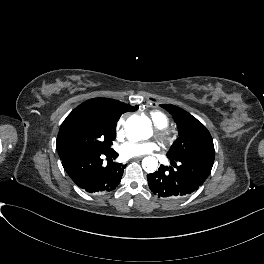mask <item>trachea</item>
<instances>
[{"instance_id": "1", "label": "trachea", "mask_w": 264, "mask_h": 264, "mask_svg": "<svg viewBox=\"0 0 264 264\" xmlns=\"http://www.w3.org/2000/svg\"><path fill=\"white\" fill-rule=\"evenodd\" d=\"M112 154H113L114 158H117L118 154L116 152L113 151Z\"/></svg>"}]
</instances>
